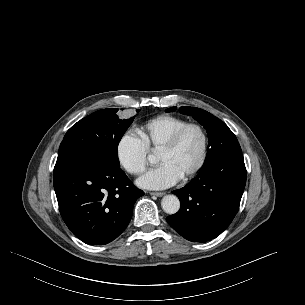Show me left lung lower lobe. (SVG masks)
Masks as SVG:
<instances>
[{
	"instance_id": "1",
	"label": "left lung lower lobe",
	"mask_w": 305,
	"mask_h": 305,
	"mask_svg": "<svg viewBox=\"0 0 305 305\" xmlns=\"http://www.w3.org/2000/svg\"><path fill=\"white\" fill-rule=\"evenodd\" d=\"M246 174L242 152L232 153L201 169L190 184L173 192L181 207L166 218L167 222L190 241L216 238L239 209Z\"/></svg>"
}]
</instances>
